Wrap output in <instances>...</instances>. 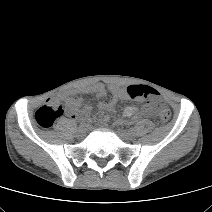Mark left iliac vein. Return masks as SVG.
Returning <instances> with one entry per match:
<instances>
[{"label": "left iliac vein", "mask_w": 212, "mask_h": 212, "mask_svg": "<svg viewBox=\"0 0 212 212\" xmlns=\"http://www.w3.org/2000/svg\"><path fill=\"white\" fill-rule=\"evenodd\" d=\"M117 134L123 140H130L132 138V134L124 129L118 128Z\"/></svg>", "instance_id": "left-iliac-vein-1"}]
</instances>
